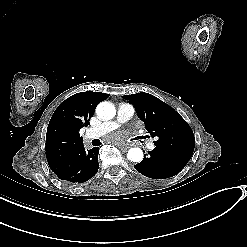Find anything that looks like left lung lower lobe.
<instances>
[{
  "label": "left lung lower lobe",
  "instance_id": "1",
  "mask_svg": "<svg viewBox=\"0 0 247 247\" xmlns=\"http://www.w3.org/2000/svg\"><path fill=\"white\" fill-rule=\"evenodd\" d=\"M190 160L184 154L155 148L150 156L134 165L142 175L153 179H165L178 174Z\"/></svg>",
  "mask_w": 247,
  "mask_h": 247
}]
</instances>
